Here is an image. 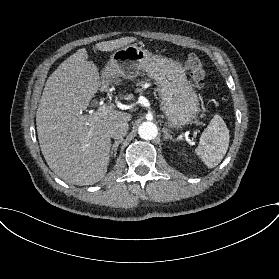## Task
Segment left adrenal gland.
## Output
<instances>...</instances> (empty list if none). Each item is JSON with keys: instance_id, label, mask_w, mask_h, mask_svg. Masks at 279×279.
<instances>
[{"instance_id": "obj_1", "label": "left adrenal gland", "mask_w": 279, "mask_h": 279, "mask_svg": "<svg viewBox=\"0 0 279 279\" xmlns=\"http://www.w3.org/2000/svg\"><path fill=\"white\" fill-rule=\"evenodd\" d=\"M162 131H163V133H164L163 140L170 139V140H172V141H175V140L173 139L172 135H170V134L168 133V129H167V128L163 127Z\"/></svg>"}]
</instances>
